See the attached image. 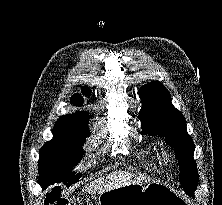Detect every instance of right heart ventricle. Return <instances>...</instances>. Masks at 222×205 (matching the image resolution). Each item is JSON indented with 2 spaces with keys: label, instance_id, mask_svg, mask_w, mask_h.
Instances as JSON below:
<instances>
[{
  "label": "right heart ventricle",
  "instance_id": "right-heart-ventricle-1",
  "mask_svg": "<svg viewBox=\"0 0 222 205\" xmlns=\"http://www.w3.org/2000/svg\"><path fill=\"white\" fill-rule=\"evenodd\" d=\"M146 157L150 161V163H158L160 161V156L157 150L149 149L145 152Z\"/></svg>",
  "mask_w": 222,
  "mask_h": 205
}]
</instances>
